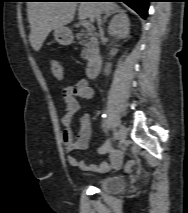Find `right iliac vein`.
<instances>
[{"label":"right iliac vein","mask_w":188,"mask_h":213,"mask_svg":"<svg viewBox=\"0 0 188 213\" xmlns=\"http://www.w3.org/2000/svg\"><path fill=\"white\" fill-rule=\"evenodd\" d=\"M118 133H119L120 142L123 143L125 141V138H126V135H127L126 127L121 125Z\"/></svg>","instance_id":"obj_1"}]
</instances>
